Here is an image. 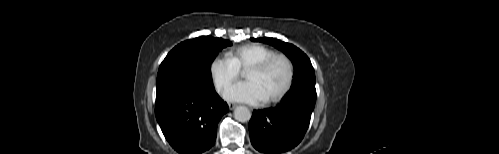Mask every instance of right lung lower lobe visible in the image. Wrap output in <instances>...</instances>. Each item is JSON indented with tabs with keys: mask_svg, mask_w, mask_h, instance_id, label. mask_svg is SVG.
Returning <instances> with one entry per match:
<instances>
[{
	"mask_svg": "<svg viewBox=\"0 0 499 154\" xmlns=\"http://www.w3.org/2000/svg\"><path fill=\"white\" fill-rule=\"evenodd\" d=\"M228 110L214 87L178 85L156 91V119L180 154L209 150L216 140L218 122Z\"/></svg>",
	"mask_w": 499,
	"mask_h": 154,
	"instance_id": "obj_1",
	"label": "right lung lower lobe"
}]
</instances>
